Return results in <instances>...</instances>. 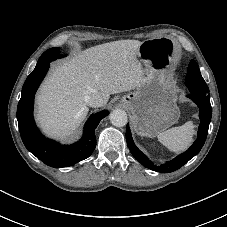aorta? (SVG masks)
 Listing matches in <instances>:
<instances>
[{"label": "aorta", "instance_id": "762f6f07", "mask_svg": "<svg viewBox=\"0 0 227 227\" xmlns=\"http://www.w3.org/2000/svg\"><path fill=\"white\" fill-rule=\"evenodd\" d=\"M110 122L116 127H123L127 124L128 118L124 110L115 109L110 113Z\"/></svg>", "mask_w": 227, "mask_h": 227}]
</instances>
